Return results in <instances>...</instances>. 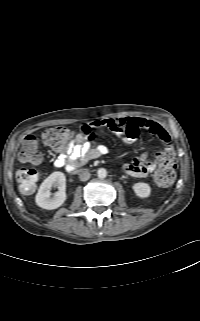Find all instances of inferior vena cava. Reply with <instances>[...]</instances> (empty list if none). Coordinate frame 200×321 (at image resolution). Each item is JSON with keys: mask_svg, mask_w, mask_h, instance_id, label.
Wrapping results in <instances>:
<instances>
[{"mask_svg": "<svg viewBox=\"0 0 200 321\" xmlns=\"http://www.w3.org/2000/svg\"><path fill=\"white\" fill-rule=\"evenodd\" d=\"M91 174L88 172V171H82L80 174H79V178L81 181H87L89 178H90Z\"/></svg>", "mask_w": 200, "mask_h": 321, "instance_id": "inferior-vena-cava-1", "label": "inferior vena cava"}]
</instances>
